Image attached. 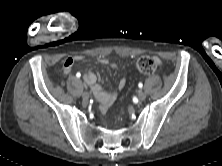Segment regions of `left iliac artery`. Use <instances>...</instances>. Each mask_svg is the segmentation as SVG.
Returning <instances> with one entry per match:
<instances>
[{"mask_svg": "<svg viewBox=\"0 0 222 166\" xmlns=\"http://www.w3.org/2000/svg\"><path fill=\"white\" fill-rule=\"evenodd\" d=\"M138 86H139V88H142V87H143V84H142V83H139Z\"/></svg>", "mask_w": 222, "mask_h": 166, "instance_id": "left-iliac-artery-1", "label": "left iliac artery"}]
</instances>
